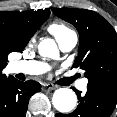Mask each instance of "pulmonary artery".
<instances>
[{
    "label": "pulmonary artery",
    "instance_id": "1",
    "mask_svg": "<svg viewBox=\"0 0 117 117\" xmlns=\"http://www.w3.org/2000/svg\"><path fill=\"white\" fill-rule=\"evenodd\" d=\"M59 48L62 52L68 53L74 49L78 38L75 32H70L65 36L57 39ZM49 69L46 63L40 61H14L11 64V70L14 73H23L27 75H40ZM87 79H82L78 82L77 88L85 91L87 88Z\"/></svg>",
    "mask_w": 117,
    "mask_h": 117
}]
</instances>
